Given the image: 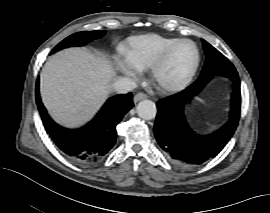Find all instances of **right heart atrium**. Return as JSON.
Returning a JSON list of instances; mask_svg holds the SVG:
<instances>
[{
    "label": "right heart atrium",
    "mask_w": 270,
    "mask_h": 213,
    "mask_svg": "<svg viewBox=\"0 0 270 213\" xmlns=\"http://www.w3.org/2000/svg\"><path fill=\"white\" fill-rule=\"evenodd\" d=\"M121 68L125 73H127L129 75H133V72L131 71V69L127 65L121 64Z\"/></svg>",
    "instance_id": "d8ad5b80"
}]
</instances>
